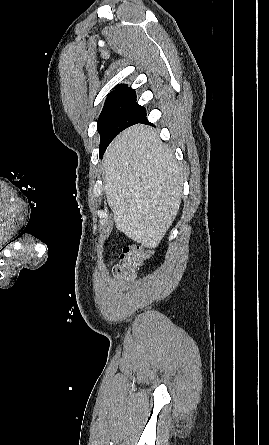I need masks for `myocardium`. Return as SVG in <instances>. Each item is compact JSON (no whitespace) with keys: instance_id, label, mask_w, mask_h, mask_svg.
Listing matches in <instances>:
<instances>
[{"instance_id":"f54148a6","label":"myocardium","mask_w":269,"mask_h":445,"mask_svg":"<svg viewBox=\"0 0 269 445\" xmlns=\"http://www.w3.org/2000/svg\"><path fill=\"white\" fill-rule=\"evenodd\" d=\"M11 237V235L5 237L4 239L0 240V244L4 243L5 241H7L9 238Z\"/></svg>"}]
</instances>
